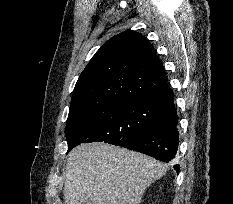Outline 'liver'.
Masks as SVG:
<instances>
[{
	"label": "liver",
	"instance_id": "obj_1",
	"mask_svg": "<svg viewBox=\"0 0 233 204\" xmlns=\"http://www.w3.org/2000/svg\"><path fill=\"white\" fill-rule=\"evenodd\" d=\"M168 167L107 143H82L67 158L64 204H140L145 190Z\"/></svg>",
	"mask_w": 233,
	"mask_h": 204
}]
</instances>
